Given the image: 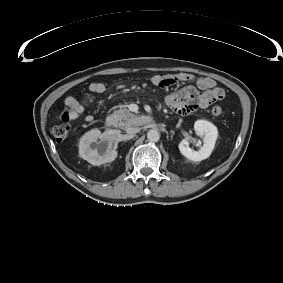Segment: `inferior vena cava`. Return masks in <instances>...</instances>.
<instances>
[{"instance_id": "obj_1", "label": "inferior vena cava", "mask_w": 283, "mask_h": 283, "mask_svg": "<svg viewBox=\"0 0 283 283\" xmlns=\"http://www.w3.org/2000/svg\"><path fill=\"white\" fill-rule=\"evenodd\" d=\"M125 131L128 134H136V133H138L140 131V128L139 127L128 126V127H126Z\"/></svg>"}]
</instances>
